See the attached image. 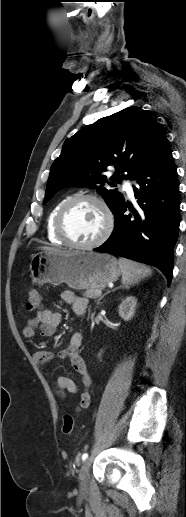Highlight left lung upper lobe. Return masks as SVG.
I'll list each match as a JSON object with an SVG mask.
<instances>
[{
	"label": "left lung upper lobe",
	"mask_w": 186,
	"mask_h": 517,
	"mask_svg": "<svg viewBox=\"0 0 186 517\" xmlns=\"http://www.w3.org/2000/svg\"><path fill=\"white\" fill-rule=\"evenodd\" d=\"M166 136L157 121L145 110L128 107L103 117L68 138L51 166L44 203L65 187H91L102 194L115 213L124 203L123 195L104 187L109 182L103 172H115L111 181L132 178ZM126 172V176H121Z\"/></svg>",
	"instance_id": "obj_1"
}]
</instances>
